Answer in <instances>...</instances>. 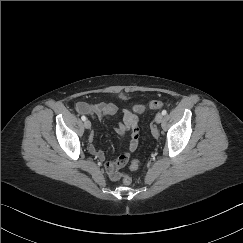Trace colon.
Returning <instances> with one entry per match:
<instances>
[{"mask_svg":"<svg viewBox=\"0 0 243 243\" xmlns=\"http://www.w3.org/2000/svg\"><path fill=\"white\" fill-rule=\"evenodd\" d=\"M164 102L163 101H160V100H152L150 103H149V108L151 109H160L164 106ZM120 161L122 162H125V159L123 158H120ZM141 166V163L138 161V160H132L129 164V168L130 170L132 171H135L137 169H139ZM122 182L126 185H129L132 181L131 177L128 175V174H123L122 175Z\"/></svg>","mask_w":243,"mask_h":243,"instance_id":"obj_1","label":"colon"}]
</instances>
